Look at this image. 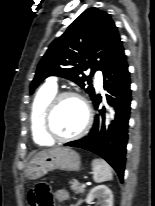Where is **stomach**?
<instances>
[{
    "label": "stomach",
    "mask_w": 155,
    "mask_h": 206,
    "mask_svg": "<svg viewBox=\"0 0 155 206\" xmlns=\"http://www.w3.org/2000/svg\"><path fill=\"white\" fill-rule=\"evenodd\" d=\"M81 160L74 150L57 147L38 153L26 169L25 176L29 180H36L49 171L60 169L63 171H78Z\"/></svg>",
    "instance_id": "obj_1"
}]
</instances>
